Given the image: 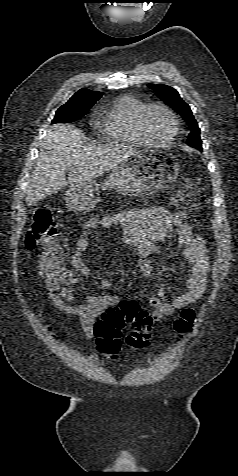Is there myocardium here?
<instances>
[{"mask_svg": "<svg viewBox=\"0 0 238 476\" xmlns=\"http://www.w3.org/2000/svg\"><path fill=\"white\" fill-rule=\"evenodd\" d=\"M153 108L162 109L172 119L174 129H173V132H172L171 136L169 138L165 139V140H157V139L153 138L147 130L146 116H147L148 112ZM137 124H138L139 131H140L141 135L144 137V139L147 142L155 144V145H167V144L171 143L176 138V136L178 135L179 129H180L179 119H178L177 115L175 114V112L169 106H167L166 104H164L162 102H151V103L145 104L141 108V110L139 111V114H138V117H137Z\"/></svg>", "mask_w": 238, "mask_h": 476, "instance_id": "obj_1", "label": "myocardium"}]
</instances>
